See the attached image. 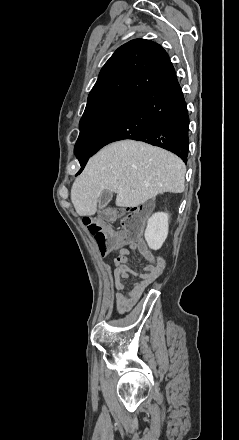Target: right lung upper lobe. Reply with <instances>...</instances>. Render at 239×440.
Here are the masks:
<instances>
[{"instance_id": "right-lung-upper-lobe-1", "label": "right lung upper lobe", "mask_w": 239, "mask_h": 440, "mask_svg": "<svg viewBox=\"0 0 239 440\" xmlns=\"http://www.w3.org/2000/svg\"><path fill=\"white\" fill-rule=\"evenodd\" d=\"M173 65L157 43L135 39L119 47L100 71L86 108L118 97H137L161 81Z\"/></svg>"}]
</instances>
